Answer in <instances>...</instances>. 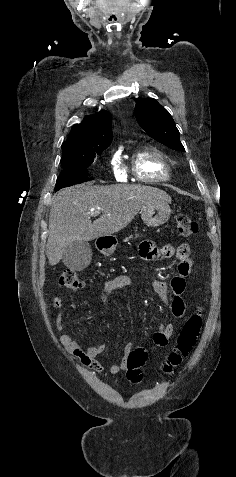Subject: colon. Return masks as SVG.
Returning a JSON list of instances; mask_svg holds the SVG:
<instances>
[{
    "label": "colon",
    "mask_w": 236,
    "mask_h": 477,
    "mask_svg": "<svg viewBox=\"0 0 236 477\" xmlns=\"http://www.w3.org/2000/svg\"><path fill=\"white\" fill-rule=\"evenodd\" d=\"M176 229L179 236L190 237L198 232V224L190 216L182 214L177 217ZM59 282L61 286L69 289H77L83 286V280L75 271L70 269L62 272ZM202 324L203 317L201 312L194 313L186 321L178 336L175 350L169 355L164 364V371L166 373H172L191 352L199 337ZM147 358L148 354L144 348H136L130 352L127 359V378L130 381H141V368L144 366Z\"/></svg>",
    "instance_id": "1"
}]
</instances>
